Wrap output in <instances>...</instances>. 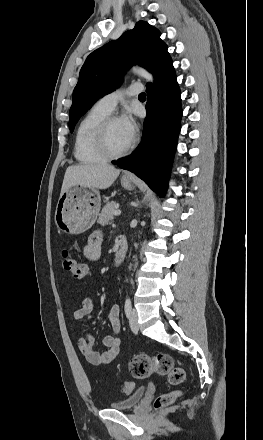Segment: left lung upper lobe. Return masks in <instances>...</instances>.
I'll return each mask as SVG.
<instances>
[{
  "instance_id": "obj_1",
  "label": "left lung upper lobe",
  "mask_w": 263,
  "mask_h": 440,
  "mask_svg": "<svg viewBox=\"0 0 263 440\" xmlns=\"http://www.w3.org/2000/svg\"><path fill=\"white\" fill-rule=\"evenodd\" d=\"M160 32L145 21L136 23L133 30L125 32L92 52L83 64L78 83L73 92L69 128L72 132L78 119L99 98L115 90L122 74L133 63L143 66L153 74L172 62L167 45Z\"/></svg>"
}]
</instances>
